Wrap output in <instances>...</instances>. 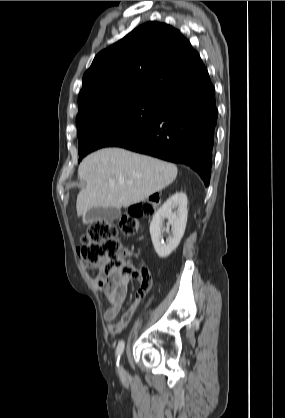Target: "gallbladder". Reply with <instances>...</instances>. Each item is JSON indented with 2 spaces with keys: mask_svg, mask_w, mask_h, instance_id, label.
Here are the masks:
<instances>
[{
  "mask_svg": "<svg viewBox=\"0 0 285 418\" xmlns=\"http://www.w3.org/2000/svg\"><path fill=\"white\" fill-rule=\"evenodd\" d=\"M120 211L114 207H95L88 210L83 216V222L85 224L92 223L94 221H114L118 219Z\"/></svg>",
  "mask_w": 285,
  "mask_h": 418,
  "instance_id": "gallbladder-1",
  "label": "gallbladder"
}]
</instances>
